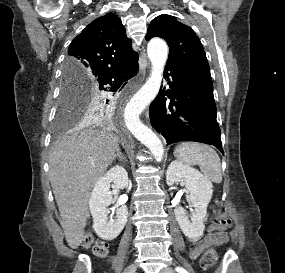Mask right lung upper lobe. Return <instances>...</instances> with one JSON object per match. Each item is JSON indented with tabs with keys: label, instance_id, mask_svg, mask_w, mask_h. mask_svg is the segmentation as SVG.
I'll list each match as a JSON object with an SVG mask.
<instances>
[{
	"label": "right lung upper lobe",
	"instance_id": "right-lung-upper-lobe-1",
	"mask_svg": "<svg viewBox=\"0 0 285 273\" xmlns=\"http://www.w3.org/2000/svg\"><path fill=\"white\" fill-rule=\"evenodd\" d=\"M138 60L121 20L113 13L92 21L71 42L64 70L91 83L98 76Z\"/></svg>",
	"mask_w": 285,
	"mask_h": 273
}]
</instances>
